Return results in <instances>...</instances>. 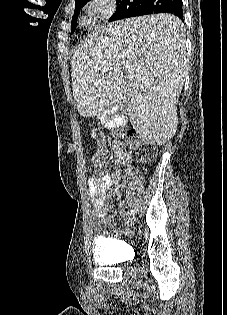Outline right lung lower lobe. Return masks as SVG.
I'll return each instance as SVG.
<instances>
[{"label":"right lung lower lobe","mask_w":227,"mask_h":315,"mask_svg":"<svg viewBox=\"0 0 227 315\" xmlns=\"http://www.w3.org/2000/svg\"><path fill=\"white\" fill-rule=\"evenodd\" d=\"M157 13H170L183 20L182 0H144L138 6L122 8L119 19Z\"/></svg>","instance_id":"obj_1"}]
</instances>
